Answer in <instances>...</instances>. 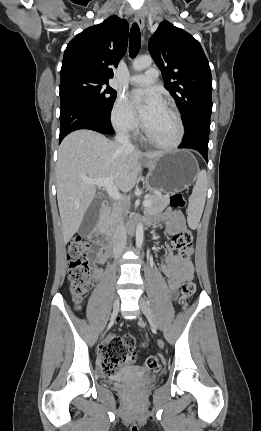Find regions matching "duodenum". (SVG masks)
<instances>
[{
  "mask_svg": "<svg viewBox=\"0 0 261 431\" xmlns=\"http://www.w3.org/2000/svg\"><path fill=\"white\" fill-rule=\"evenodd\" d=\"M107 212V207L103 206L100 212L99 220L96 224L95 231L92 234V240L97 243L103 251L106 252L107 256L111 253L112 250V237L107 230L105 215Z\"/></svg>",
  "mask_w": 261,
  "mask_h": 431,
  "instance_id": "duodenum-1",
  "label": "duodenum"
}]
</instances>
